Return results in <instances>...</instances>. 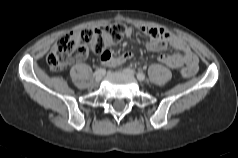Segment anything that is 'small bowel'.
<instances>
[{
	"instance_id": "1",
	"label": "small bowel",
	"mask_w": 238,
	"mask_h": 158,
	"mask_svg": "<svg viewBox=\"0 0 238 158\" xmlns=\"http://www.w3.org/2000/svg\"><path fill=\"white\" fill-rule=\"evenodd\" d=\"M140 31L148 37L146 43L148 49L152 51H162L168 46H171L178 51V53L175 54H161L158 60L162 64L173 69L197 65V56L193 53L188 44L177 35L162 28L148 26L140 27ZM131 58V52H125L119 56H115L108 50H105L100 57L102 63L108 67H116Z\"/></svg>"
}]
</instances>
